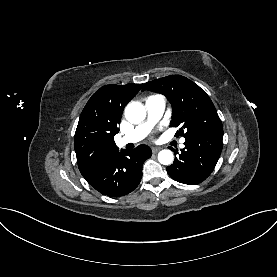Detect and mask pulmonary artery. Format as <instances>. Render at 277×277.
Returning a JSON list of instances; mask_svg holds the SVG:
<instances>
[{
    "label": "pulmonary artery",
    "instance_id": "pulmonary-artery-1",
    "mask_svg": "<svg viewBox=\"0 0 277 277\" xmlns=\"http://www.w3.org/2000/svg\"><path fill=\"white\" fill-rule=\"evenodd\" d=\"M147 119L144 123L137 126L130 134L123 136L119 140V145L124 146L129 143H136L144 139L151 131L154 124L162 117L165 110V100L156 95L151 96L145 101ZM185 139H181L180 147H184Z\"/></svg>",
    "mask_w": 277,
    "mask_h": 277
}]
</instances>
